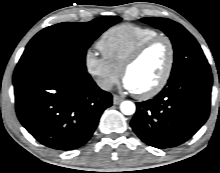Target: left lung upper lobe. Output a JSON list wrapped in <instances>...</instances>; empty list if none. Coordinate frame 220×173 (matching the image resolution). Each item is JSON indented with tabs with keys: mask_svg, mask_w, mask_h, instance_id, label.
I'll use <instances>...</instances> for the list:
<instances>
[{
	"mask_svg": "<svg viewBox=\"0 0 220 173\" xmlns=\"http://www.w3.org/2000/svg\"><path fill=\"white\" fill-rule=\"evenodd\" d=\"M142 21L162 30L172 41L174 63L168 83L183 75L211 71L200 45L182 25L165 18H142Z\"/></svg>",
	"mask_w": 220,
	"mask_h": 173,
	"instance_id": "1",
	"label": "left lung upper lobe"
}]
</instances>
